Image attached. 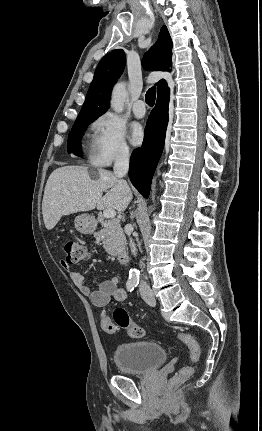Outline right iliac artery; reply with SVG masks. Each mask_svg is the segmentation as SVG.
Masks as SVG:
<instances>
[{"label": "right iliac artery", "mask_w": 262, "mask_h": 431, "mask_svg": "<svg viewBox=\"0 0 262 431\" xmlns=\"http://www.w3.org/2000/svg\"><path fill=\"white\" fill-rule=\"evenodd\" d=\"M136 286H137V283L133 281H128L126 283L127 290L130 292H132Z\"/></svg>", "instance_id": "obj_1"}]
</instances>
